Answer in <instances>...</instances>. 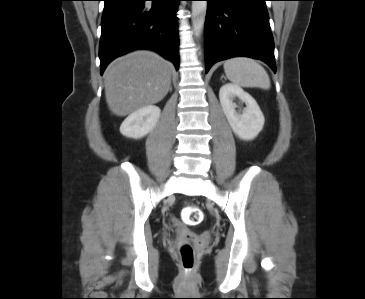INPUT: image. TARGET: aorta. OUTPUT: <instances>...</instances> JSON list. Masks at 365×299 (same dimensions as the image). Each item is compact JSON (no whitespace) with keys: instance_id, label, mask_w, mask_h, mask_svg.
I'll return each mask as SVG.
<instances>
[{"instance_id":"1","label":"aorta","mask_w":365,"mask_h":299,"mask_svg":"<svg viewBox=\"0 0 365 299\" xmlns=\"http://www.w3.org/2000/svg\"><path fill=\"white\" fill-rule=\"evenodd\" d=\"M207 9V1H192V23L196 36L202 32Z\"/></svg>"}]
</instances>
